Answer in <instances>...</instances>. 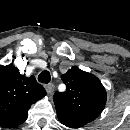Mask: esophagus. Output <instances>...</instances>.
Segmentation results:
<instances>
[{
    "label": "esophagus",
    "mask_w": 130,
    "mask_h": 130,
    "mask_svg": "<svg viewBox=\"0 0 130 130\" xmlns=\"http://www.w3.org/2000/svg\"><path fill=\"white\" fill-rule=\"evenodd\" d=\"M44 87H45L48 94H51L55 88L54 84H52V83L46 84Z\"/></svg>",
    "instance_id": "34e87169"
}]
</instances>
